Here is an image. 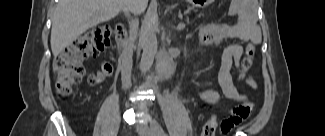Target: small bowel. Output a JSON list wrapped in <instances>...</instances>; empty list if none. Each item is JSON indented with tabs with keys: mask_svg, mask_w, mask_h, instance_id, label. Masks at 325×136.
<instances>
[{
	"mask_svg": "<svg viewBox=\"0 0 325 136\" xmlns=\"http://www.w3.org/2000/svg\"><path fill=\"white\" fill-rule=\"evenodd\" d=\"M198 37L204 45H218L230 39L240 41H250L257 38L255 28L241 16L237 17V22L228 26H209L199 30ZM243 49L240 45L228 46L222 54L221 68L219 72V86L222 95L239 103L240 105L231 110V115L221 123V132L226 134L251 113V104L248 98L241 94L233 85L231 70L233 64L239 65ZM114 72V67L110 62L103 61L100 70L90 73L87 82L90 86L103 83ZM247 84L256 89L257 84L252 77L247 78ZM203 96L212 104L220 101V94L217 91H206Z\"/></svg>",
	"mask_w": 325,
	"mask_h": 136,
	"instance_id": "c3829d8e",
	"label": "small bowel"
}]
</instances>
